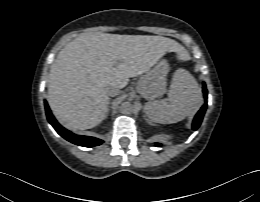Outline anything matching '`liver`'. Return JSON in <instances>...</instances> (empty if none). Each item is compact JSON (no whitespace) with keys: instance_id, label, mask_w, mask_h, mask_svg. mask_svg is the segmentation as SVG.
Masks as SVG:
<instances>
[{"instance_id":"liver-1","label":"liver","mask_w":260,"mask_h":202,"mask_svg":"<svg viewBox=\"0 0 260 202\" xmlns=\"http://www.w3.org/2000/svg\"><path fill=\"white\" fill-rule=\"evenodd\" d=\"M167 52L186 58L183 46L161 36L82 34L69 42L51 65L48 102L55 117L73 130L90 129L105 119L110 88H124Z\"/></svg>"}]
</instances>
